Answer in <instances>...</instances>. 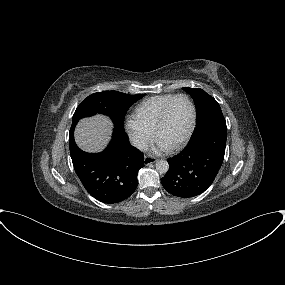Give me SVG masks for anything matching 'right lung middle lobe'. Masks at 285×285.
<instances>
[{"label":"right lung middle lobe","mask_w":285,"mask_h":285,"mask_svg":"<svg viewBox=\"0 0 285 285\" xmlns=\"http://www.w3.org/2000/svg\"><path fill=\"white\" fill-rule=\"evenodd\" d=\"M144 96L145 94L128 95L118 91H103L91 94L77 107L72 122L77 123L83 117L102 113L112 119L115 130L124 131L123 122L127 110Z\"/></svg>","instance_id":"obj_1"}]
</instances>
